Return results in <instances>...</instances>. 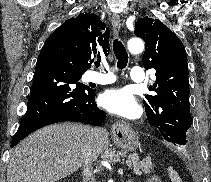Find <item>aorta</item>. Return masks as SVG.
Masks as SVG:
<instances>
[{
	"label": "aorta",
	"instance_id": "aorta-1",
	"mask_svg": "<svg viewBox=\"0 0 211 182\" xmlns=\"http://www.w3.org/2000/svg\"><path fill=\"white\" fill-rule=\"evenodd\" d=\"M127 45L131 53H140L144 49V43L140 38H131Z\"/></svg>",
	"mask_w": 211,
	"mask_h": 182
}]
</instances>
